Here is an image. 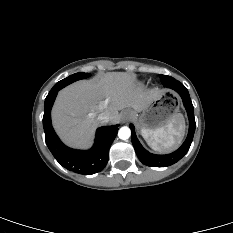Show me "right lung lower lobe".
I'll return each instance as SVG.
<instances>
[{
	"label": "right lung lower lobe",
	"instance_id": "98d812e1",
	"mask_svg": "<svg viewBox=\"0 0 233 233\" xmlns=\"http://www.w3.org/2000/svg\"><path fill=\"white\" fill-rule=\"evenodd\" d=\"M60 89L49 92L45 99L43 127L46 144L55 159L65 168L79 174H95L103 170L109 159V148L115 139L118 126L97 129L95 143L88 151L74 150L65 146L51 124V108Z\"/></svg>",
	"mask_w": 233,
	"mask_h": 233
}]
</instances>
